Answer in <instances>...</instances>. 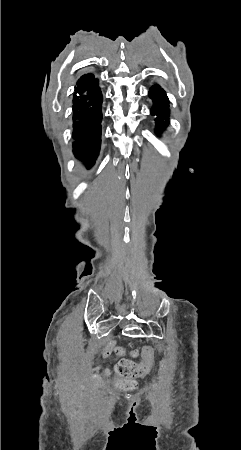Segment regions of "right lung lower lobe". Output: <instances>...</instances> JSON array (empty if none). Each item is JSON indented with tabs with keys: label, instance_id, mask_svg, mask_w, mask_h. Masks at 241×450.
<instances>
[{
	"label": "right lung lower lobe",
	"instance_id": "obj_1",
	"mask_svg": "<svg viewBox=\"0 0 241 450\" xmlns=\"http://www.w3.org/2000/svg\"><path fill=\"white\" fill-rule=\"evenodd\" d=\"M103 95L92 73L82 75L73 94V152L86 168L97 159L101 145Z\"/></svg>",
	"mask_w": 241,
	"mask_h": 450
}]
</instances>
